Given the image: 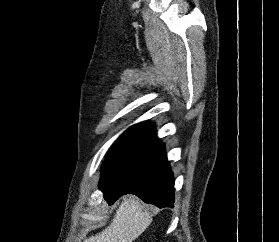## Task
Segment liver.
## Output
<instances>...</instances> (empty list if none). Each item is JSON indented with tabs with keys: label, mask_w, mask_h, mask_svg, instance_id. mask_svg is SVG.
Instances as JSON below:
<instances>
[{
	"label": "liver",
	"mask_w": 279,
	"mask_h": 242,
	"mask_svg": "<svg viewBox=\"0 0 279 242\" xmlns=\"http://www.w3.org/2000/svg\"><path fill=\"white\" fill-rule=\"evenodd\" d=\"M151 222L152 216L148 211L142 210L141 201L130 196L123 199L111 224L84 242H133Z\"/></svg>",
	"instance_id": "6515ba94"
}]
</instances>
